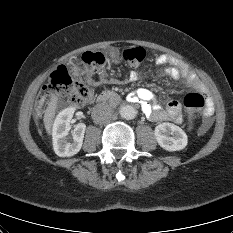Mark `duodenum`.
Segmentation results:
<instances>
[{
  "label": "duodenum",
  "mask_w": 233,
  "mask_h": 233,
  "mask_svg": "<svg viewBox=\"0 0 233 233\" xmlns=\"http://www.w3.org/2000/svg\"><path fill=\"white\" fill-rule=\"evenodd\" d=\"M98 102H109L111 104H118L121 101V98L118 94L111 90L102 91L97 98Z\"/></svg>",
  "instance_id": "obj_1"
}]
</instances>
